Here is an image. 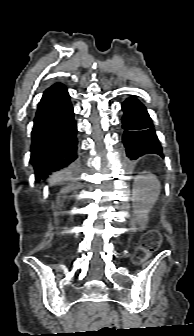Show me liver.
I'll return each instance as SVG.
<instances>
[{"label": "liver", "instance_id": "liver-1", "mask_svg": "<svg viewBox=\"0 0 194 336\" xmlns=\"http://www.w3.org/2000/svg\"><path fill=\"white\" fill-rule=\"evenodd\" d=\"M68 175L69 174L66 171L57 172L51 177L50 182L53 185L57 184V183L61 182L62 180L66 179L68 177Z\"/></svg>", "mask_w": 194, "mask_h": 336}]
</instances>
